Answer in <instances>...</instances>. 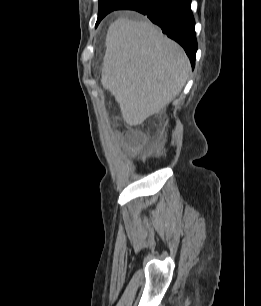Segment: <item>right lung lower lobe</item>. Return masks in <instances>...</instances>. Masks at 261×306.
Instances as JSON below:
<instances>
[{"label":"right lung lower lobe","mask_w":261,"mask_h":306,"mask_svg":"<svg viewBox=\"0 0 261 306\" xmlns=\"http://www.w3.org/2000/svg\"><path fill=\"white\" fill-rule=\"evenodd\" d=\"M190 6L191 0H129L118 9L135 10L147 15L153 23L161 27L163 33L184 48L194 67L197 40ZM102 18L97 20L96 25Z\"/></svg>","instance_id":"1"}]
</instances>
